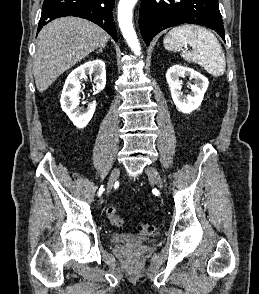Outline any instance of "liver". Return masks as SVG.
<instances>
[{
  "mask_svg": "<svg viewBox=\"0 0 259 294\" xmlns=\"http://www.w3.org/2000/svg\"><path fill=\"white\" fill-rule=\"evenodd\" d=\"M109 35L96 24L78 17H62L40 31L34 56L36 87L44 92L66 70L104 46Z\"/></svg>",
  "mask_w": 259,
  "mask_h": 294,
  "instance_id": "obj_1",
  "label": "liver"
}]
</instances>
